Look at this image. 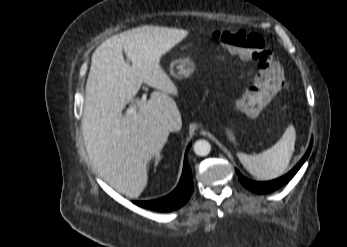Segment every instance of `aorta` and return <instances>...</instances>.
I'll use <instances>...</instances> for the list:
<instances>
[{"instance_id":"1","label":"aorta","mask_w":347,"mask_h":247,"mask_svg":"<svg viewBox=\"0 0 347 247\" xmlns=\"http://www.w3.org/2000/svg\"><path fill=\"white\" fill-rule=\"evenodd\" d=\"M194 152L198 156H207L211 151V145L207 140H197L194 144Z\"/></svg>"}]
</instances>
